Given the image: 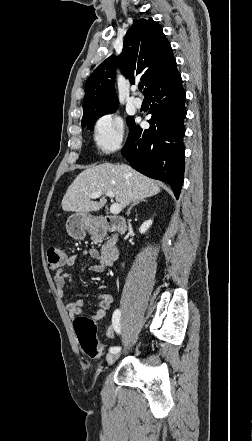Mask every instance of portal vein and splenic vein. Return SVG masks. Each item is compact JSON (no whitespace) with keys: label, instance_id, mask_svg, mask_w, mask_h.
Returning <instances> with one entry per match:
<instances>
[{"label":"portal vein and splenic vein","instance_id":"obj_1","mask_svg":"<svg viewBox=\"0 0 252 441\" xmlns=\"http://www.w3.org/2000/svg\"><path fill=\"white\" fill-rule=\"evenodd\" d=\"M101 195H102L101 192H94V193H92V194L90 195V198H92V199H97V198H99ZM105 195L108 196V197H114V193L111 192V191L106 192ZM120 211H121V206H120L118 203H114V204L111 205V207H110V212H111L112 214H118V213H120Z\"/></svg>","mask_w":252,"mask_h":441}]
</instances>
